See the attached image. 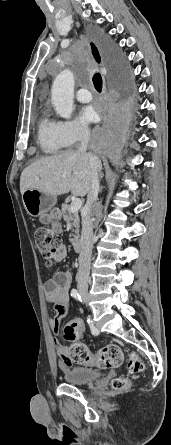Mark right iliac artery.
Returning <instances> with one entry per match:
<instances>
[{
    "mask_svg": "<svg viewBox=\"0 0 171 445\" xmlns=\"http://www.w3.org/2000/svg\"><path fill=\"white\" fill-rule=\"evenodd\" d=\"M71 296L73 298H75L76 300L81 301V296L79 295V293H78V291L76 289H72ZM88 322H89V320H88Z\"/></svg>",
    "mask_w": 171,
    "mask_h": 445,
    "instance_id": "82829eb1",
    "label": "right iliac artery"
}]
</instances>
